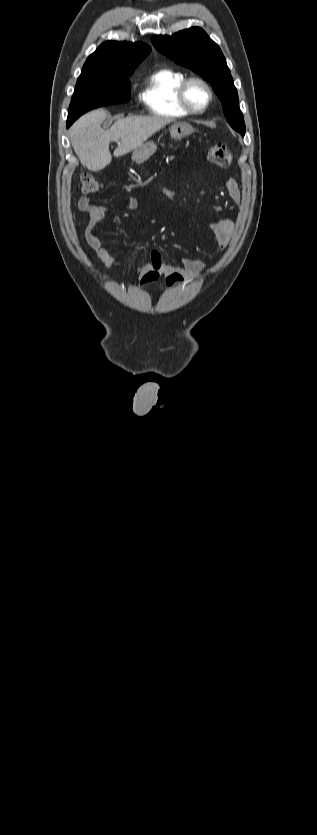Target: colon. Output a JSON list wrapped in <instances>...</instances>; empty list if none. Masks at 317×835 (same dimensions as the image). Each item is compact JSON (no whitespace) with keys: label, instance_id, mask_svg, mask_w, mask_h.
I'll return each mask as SVG.
<instances>
[{"label":"colon","instance_id":"1","mask_svg":"<svg viewBox=\"0 0 317 835\" xmlns=\"http://www.w3.org/2000/svg\"><path fill=\"white\" fill-rule=\"evenodd\" d=\"M209 158L214 164L220 167H228L232 163L231 150L227 145L222 143H217L210 148ZM80 189L85 194H93L102 189V184L94 176L85 173L80 176ZM182 279L183 277L180 273L174 272L166 278V284L170 286Z\"/></svg>","mask_w":317,"mask_h":835}]
</instances>
